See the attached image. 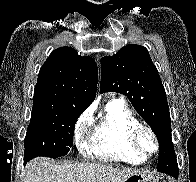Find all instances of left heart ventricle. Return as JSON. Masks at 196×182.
<instances>
[{"mask_svg": "<svg viewBox=\"0 0 196 182\" xmlns=\"http://www.w3.org/2000/svg\"><path fill=\"white\" fill-rule=\"evenodd\" d=\"M141 144L146 151H151L154 147V142H153L152 138L147 134H144L142 136Z\"/></svg>", "mask_w": 196, "mask_h": 182, "instance_id": "1", "label": "left heart ventricle"}]
</instances>
